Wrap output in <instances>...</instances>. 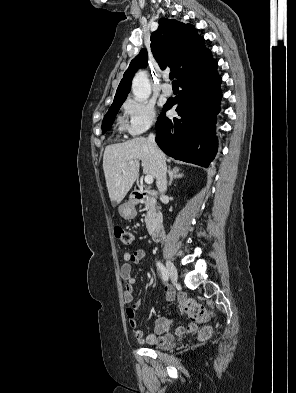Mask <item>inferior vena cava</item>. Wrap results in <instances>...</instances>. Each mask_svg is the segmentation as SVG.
Masks as SVG:
<instances>
[{
	"mask_svg": "<svg viewBox=\"0 0 296 393\" xmlns=\"http://www.w3.org/2000/svg\"><path fill=\"white\" fill-rule=\"evenodd\" d=\"M147 141L150 151L152 152L156 162V166H157L156 185L159 192L161 193V199H162L165 197V192L167 190V177H166L167 167L165 163V158L155 142L154 134H150L148 136Z\"/></svg>",
	"mask_w": 296,
	"mask_h": 393,
	"instance_id": "1",
	"label": "inferior vena cava"
}]
</instances>
